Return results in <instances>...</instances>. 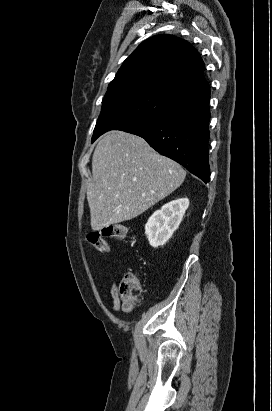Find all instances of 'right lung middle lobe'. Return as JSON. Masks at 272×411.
Returning <instances> with one entry per match:
<instances>
[{
	"mask_svg": "<svg viewBox=\"0 0 272 411\" xmlns=\"http://www.w3.org/2000/svg\"><path fill=\"white\" fill-rule=\"evenodd\" d=\"M177 107H179L177 102L165 100L158 94L147 90L106 93L92 139L112 129L126 131Z\"/></svg>",
	"mask_w": 272,
	"mask_h": 411,
	"instance_id": "right-lung-middle-lobe-1",
	"label": "right lung middle lobe"
}]
</instances>
